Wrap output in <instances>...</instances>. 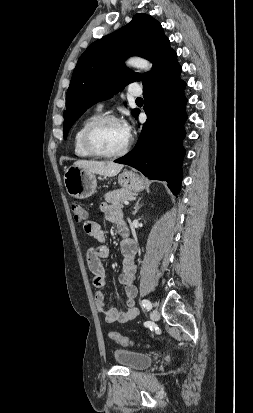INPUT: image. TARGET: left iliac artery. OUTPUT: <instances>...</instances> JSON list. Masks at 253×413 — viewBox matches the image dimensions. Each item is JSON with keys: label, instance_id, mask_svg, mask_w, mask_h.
<instances>
[{"label": "left iliac artery", "instance_id": "left-iliac-artery-1", "mask_svg": "<svg viewBox=\"0 0 253 413\" xmlns=\"http://www.w3.org/2000/svg\"><path fill=\"white\" fill-rule=\"evenodd\" d=\"M141 305H142L145 309H147V310H150V309L152 308L151 302H150L149 300H147V299H143V300L141 301Z\"/></svg>", "mask_w": 253, "mask_h": 413}]
</instances>
